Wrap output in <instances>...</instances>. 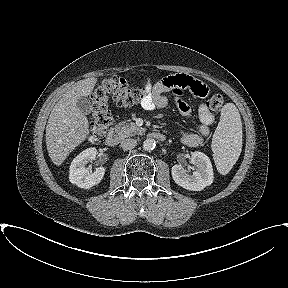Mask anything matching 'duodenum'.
<instances>
[{"label":"duodenum","instance_id":"duodenum-1","mask_svg":"<svg viewBox=\"0 0 288 288\" xmlns=\"http://www.w3.org/2000/svg\"><path fill=\"white\" fill-rule=\"evenodd\" d=\"M149 137L158 140V141H164L165 140V135L160 132H152L149 134ZM120 142V136L115 130H111L106 138V144L110 147H115L119 144Z\"/></svg>","mask_w":288,"mask_h":288}]
</instances>
